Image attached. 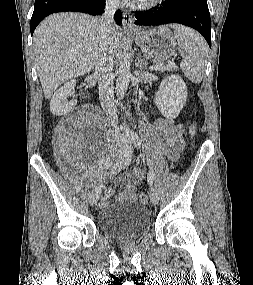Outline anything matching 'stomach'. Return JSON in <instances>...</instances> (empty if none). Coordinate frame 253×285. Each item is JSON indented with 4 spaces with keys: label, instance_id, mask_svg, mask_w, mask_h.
I'll use <instances>...</instances> for the list:
<instances>
[{
    "label": "stomach",
    "instance_id": "obj_1",
    "mask_svg": "<svg viewBox=\"0 0 253 285\" xmlns=\"http://www.w3.org/2000/svg\"><path fill=\"white\" fill-rule=\"evenodd\" d=\"M142 51L157 62H164L176 53V41L165 26L141 30L134 35Z\"/></svg>",
    "mask_w": 253,
    "mask_h": 285
}]
</instances>
